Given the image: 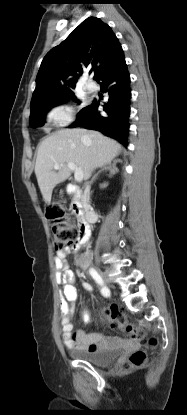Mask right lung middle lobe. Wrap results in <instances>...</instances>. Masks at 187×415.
Returning a JSON list of instances; mask_svg holds the SVG:
<instances>
[{
  "label": "right lung middle lobe",
  "instance_id": "1",
  "mask_svg": "<svg viewBox=\"0 0 187 415\" xmlns=\"http://www.w3.org/2000/svg\"><path fill=\"white\" fill-rule=\"evenodd\" d=\"M70 99L77 100L73 92L65 95L59 102H56L54 104L43 105L39 108L32 110L29 117L30 126L33 128L43 126L45 123V115L49 111V109Z\"/></svg>",
  "mask_w": 187,
  "mask_h": 415
}]
</instances>
